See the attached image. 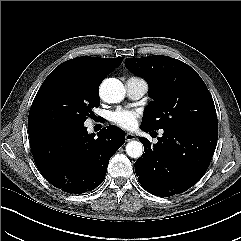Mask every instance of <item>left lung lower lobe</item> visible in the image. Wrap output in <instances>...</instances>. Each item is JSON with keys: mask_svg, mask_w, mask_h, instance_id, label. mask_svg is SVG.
<instances>
[{"mask_svg": "<svg viewBox=\"0 0 241 241\" xmlns=\"http://www.w3.org/2000/svg\"><path fill=\"white\" fill-rule=\"evenodd\" d=\"M163 130V136L153 146L148 139L139 138L144 153L135 162V172L148 192L169 197L186 191L204 175L217 144L218 131L193 127Z\"/></svg>", "mask_w": 241, "mask_h": 241, "instance_id": "0a47b994", "label": "left lung lower lobe"}]
</instances>
